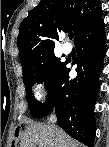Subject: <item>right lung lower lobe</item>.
Masks as SVG:
<instances>
[{
    "instance_id": "right-lung-lower-lobe-1",
    "label": "right lung lower lobe",
    "mask_w": 109,
    "mask_h": 147,
    "mask_svg": "<svg viewBox=\"0 0 109 147\" xmlns=\"http://www.w3.org/2000/svg\"><path fill=\"white\" fill-rule=\"evenodd\" d=\"M105 29L99 17L75 41L78 57L77 77L69 80V70L64 67L52 86L48 98L37 116H47L53 108L59 126L72 138L91 147L94 142V106L99 89V75L105 55Z\"/></svg>"
}]
</instances>
